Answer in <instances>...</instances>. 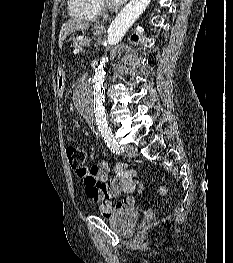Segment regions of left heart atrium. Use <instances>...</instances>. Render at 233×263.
Here are the masks:
<instances>
[{
	"instance_id": "obj_1",
	"label": "left heart atrium",
	"mask_w": 233,
	"mask_h": 263,
	"mask_svg": "<svg viewBox=\"0 0 233 263\" xmlns=\"http://www.w3.org/2000/svg\"><path fill=\"white\" fill-rule=\"evenodd\" d=\"M113 3H122L124 2L125 0H111Z\"/></svg>"
}]
</instances>
